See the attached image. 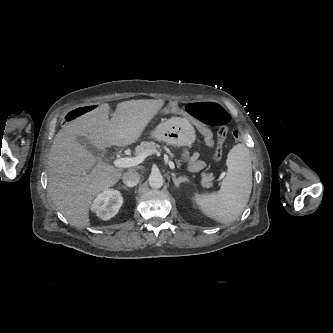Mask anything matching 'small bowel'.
Listing matches in <instances>:
<instances>
[{"mask_svg":"<svg viewBox=\"0 0 333 333\" xmlns=\"http://www.w3.org/2000/svg\"><path fill=\"white\" fill-rule=\"evenodd\" d=\"M171 112H176L177 114H181L184 117L187 115L184 111H180L177 108V105L175 103H169L168 105H165L164 107H158L156 109V114L158 116H167L168 114H170ZM187 120H189L190 122H192L195 126H197L201 131H203V135L205 136L204 138L206 140H208L209 142L206 144L208 147H214L215 145L211 142L213 141L212 138L208 135L209 132L207 131V128L204 126H201V124L195 120L191 115H187L185 117ZM208 135V136H207ZM188 165H189V169L193 172H198L200 171L203 167H204V163L199 159L198 154H193L188 158Z\"/></svg>","mask_w":333,"mask_h":333,"instance_id":"c3829d8e","label":"small bowel"}]
</instances>
